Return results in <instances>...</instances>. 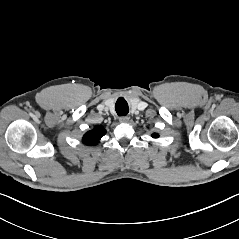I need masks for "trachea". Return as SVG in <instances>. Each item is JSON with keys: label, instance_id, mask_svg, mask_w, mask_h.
<instances>
[{"label": "trachea", "instance_id": "1", "mask_svg": "<svg viewBox=\"0 0 239 239\" xmlns=\"http://www.w3.org/2000/svg\"><path fill=\"white\" fill-rule=\"evenodd\" d=\"M115 110L119 116H125L129 112L128 104L123 98H119L115 104Z\"/></svg>", "mask_w": 239, "mask_h": 239}]
</instances>
